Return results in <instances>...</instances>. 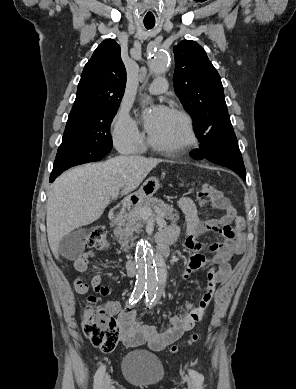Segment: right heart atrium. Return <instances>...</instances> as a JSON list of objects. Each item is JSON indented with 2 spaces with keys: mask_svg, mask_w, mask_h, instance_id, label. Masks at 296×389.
<instances>
[{
  "mask_svg": "<svg viewBox=\"0 0 296 389\" xmlns=\"http://www.w3.org/2000/svg\"><path fill=\"white\" fill-rule=\"evenodd\" d=\"M112 137L115 147L121 152H131L142 146L143 135L138 123L124 107L118 110L113 119Z\"/></svg>",
  "mask_w": 296,
  "mask_h": 389,
  "instance_id": "1",
  "label": "right heart atrium"
}]
</instances>
